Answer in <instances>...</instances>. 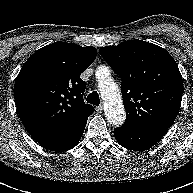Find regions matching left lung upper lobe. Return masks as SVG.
Masks as SVG:
<instances>
[{
    "label": "left lung upper lobe",
    "instance_id": "5c2ea615",
    "mask_svg": "<svg viewBox=\"0 0 193 193\" xmlns=\"http://www.w3.org/2000/svg\"><path fill=\"white\" fill-rule=\"evenodd\" d=\"M101 55L122 78L126 109L125 129H169L178 115L183 81L173 57L163 48L129 40L100 49Z\"/></svg>",
    "mask_w": 193,
    "mask_h": 193
}]
</instances>
